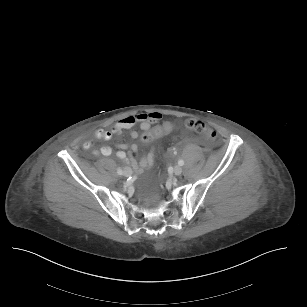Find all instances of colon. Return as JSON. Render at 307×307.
<instances>
[{
  "mask_svg": "<svg viewBox=\"0 0 307 307\" xmlns=\"http://www.w3.org/2000/svg\"><path fill=\"white\" fill-rule=\"evenodd\" d=\"M164 123L165 125L159 128H155L154 130L150 132L143 133L141 136L142 139L145 141L152 140L158 135L161 136L165 133H168L174 130L176 127L175 124L172 122V120L169 118L166 119ZM184 127L188 131H197V132L204 133L206 137L208 138V140L210 141H214L217 138V133L214 130L209 129L202 121L198 119H194V118L186 119L184 122Z\"/></svg>",
  "mask_w": 307,
  "mask_h": 307,
  "instance_id": "1",
  "label": "colon"
}]
</instances>
